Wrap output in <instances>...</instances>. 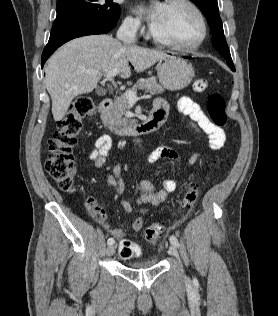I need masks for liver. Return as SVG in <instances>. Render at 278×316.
Returning a JSON list of instances; mask_svg holds the SVG:
<instances>
[{"label": "liver", "instance_id": "6515ba94", "mask_svg": "<svg viewBox=\"0 0 278 316\" xmlns=\"http://www.w3.org/2000/svg\"><path fill=\"white\" fill-rule=\"evenodd\" d=\"M166 56L161 51L123 44L110 35H89L69 41L51 56L45 69L54 120L60 121L66 115L75 97L92 92L102 73L118 69L120 77L128 78L129 63L136 72H142Z\"/></svg>", "mask_w": 278, "mask_h": 316}]
</instances>
